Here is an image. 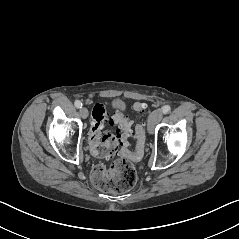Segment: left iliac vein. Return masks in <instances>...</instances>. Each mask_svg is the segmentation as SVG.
<instances>
[{"instance_id": "1", "label": "left iliac vein", "mask_w": 239, "mask_h": 239, "mask_svg": "<svg viewBox=\"0 0 239 239\" xmlns=\"http://www.w3.org/2000/svg\"><path fill=\"white\" fill-rule=\"evenodd\" d=\"M163 113L161 110H154L149 118H148V131L149 133H153L155 126L160 122L162 119Z\"/></svg>"}]
</instances>
